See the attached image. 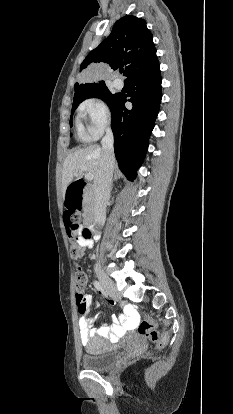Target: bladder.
<instances>
[{
	"instance_id": "31cf9c89",
	"label": "bladder",
	"mask_w": 233,
	"mask_h": 414,
	"mask_svg": "<svg viewBox=\"0 0 233 414\" xmlns=\"http://www.w3.org/2000/svg\"><path fill=\"white\" fill-rule=\"evenodd\" d=\"M119 359V351L99 337L88 343L81 364L86 370L104 371L112 368Z\"/></svg>"
}]
</instances>
